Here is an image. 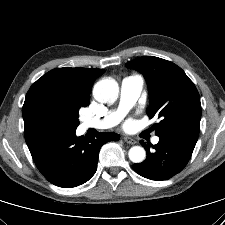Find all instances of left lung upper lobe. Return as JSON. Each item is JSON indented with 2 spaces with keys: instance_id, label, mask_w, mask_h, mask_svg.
Instances as JSON below:
<instances>
[{
  "instance_id": "5c2ea615",
  "label": "left lung upper lobe",
  "mask_w": 225,
  "mask_h": 225,
  "mask_svg": "<svg viewBox=\"0 0 225 225\" xmlns=\"http://www.w3.org/2000/svg\"><path fill=\"white\" fill-rule=\"evenodd\" d=\"M127 68L141 72L148 84L147 115L161 118L155 134L196 144L201 119L199 93L185 72L174 63L154 56L134 59Z\"/></svg>"
}]
</instances>
